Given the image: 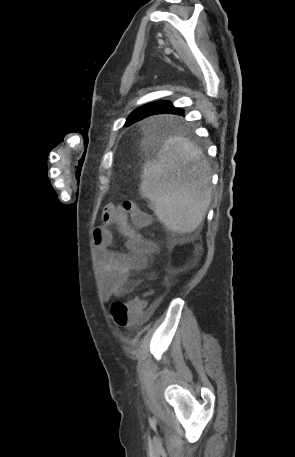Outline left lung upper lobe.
<instances>
[{
    "mask_svg": "<svg viewBox=\"0 0 295 457\" xmlns=\"http://www.w3.org/2000/svg\"><path fill=\"white\" fill-rule=\"evenodd\" d=\"M163 101H155V102H151V103H148L146 105H143L137 109H135L130 115L129 117L127 118L126 120V123L125 125L126 126H129L131 125L132 123H135L137 121H140L142 120L143 118L145 117H148L151 115V111L153 110V108L162 103Z\"/></svg>",
    "mask_w": 295,
    "mask_h": 457,
    "instance_id": "1",
    "label": "left lung upper lobe"
}]
</instances>
